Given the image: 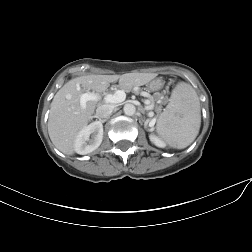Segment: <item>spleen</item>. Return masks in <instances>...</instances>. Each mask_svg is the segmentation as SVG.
<instances>
[{
    "mask_svg": "<svg viewBox=\"0 0 252 252\" xmlns=\"http://www.w3.org/2000/svg\"><path fill=\"white\" fill-rule=\"evenodd\" d=\"M200 124V102L195 90L188 83H178L157 120L158 135L170 147L183 149L195 140Z\"/></svg>",
    "mask_w": 252,
    "mask_h": 252,
    "instance_id": "spleen-1",
    "label": "spleen"
}]
</instances>
